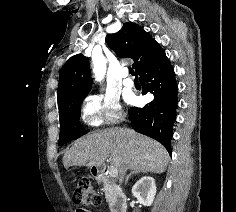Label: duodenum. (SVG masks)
Wrapping results in <instances>:
<instances>
[{
  "label": "duodenum",
  "instance_id": "1",
  "mask_svg": "<svg viewBox=\"0 0 236 212\" xmlns=\"http://www.w3.org/2000/svg\"><path fill=\"white\" fill-rule=\"evenodd\" d=\"M96 177H100L106 181V184L111 192V211L112 212H126L127 203L126 196L122 188L116 183L110 182L105 177L104 169L96 168L93 171Z\"/></svg>",
  "mask_w": 236,
  "mask_h": 212
}]
</instances>
